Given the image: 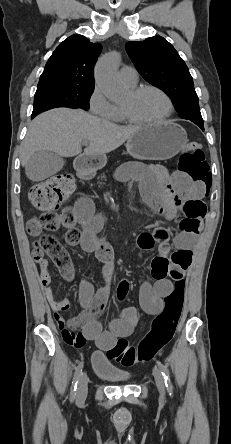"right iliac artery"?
I'll list each match as a JSON object with an SVG mask.
<instances>
[{"instance_id":"obj_1","label":"right iliac artery","mask_w":231,"mask_h":444,"mask_svg":"<svg viewBox=\"0 0 231 444\" xmlns=\"http://www.w3.org/2000/svg\"><path fill=\"white\" fill-rule=\"evenodd\" d=\"M82 368H83V361L77 365L76 370H75L74 378H73L72 385H71V401L74 400V398L76 396V388H77L79 377L82 373Z\"/></svg>"}]
</instances>
